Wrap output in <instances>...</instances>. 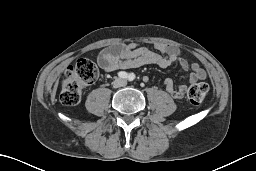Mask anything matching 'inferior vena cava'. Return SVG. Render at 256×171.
<instances>
[{"label":"inferior vena cava","instance_id":"1","mask_svg":"<svg viewBox=\"0 0 256 171\" xmlns=\"http://www.w3.org/2000/svg\"><path fill=\"white\" fill-rule=\"evenodd\" d=\"M127 82L125 79H121V78H117L114 82H113V87L114 88H118V87H124L126 86Z\"/></svg>","mask_w":256,"mask_h":171}]
</instances>
